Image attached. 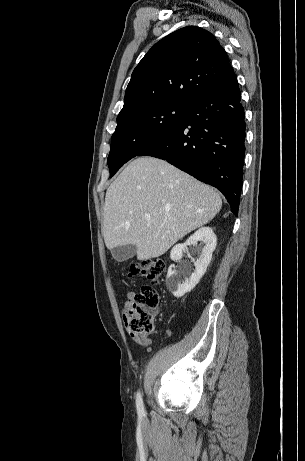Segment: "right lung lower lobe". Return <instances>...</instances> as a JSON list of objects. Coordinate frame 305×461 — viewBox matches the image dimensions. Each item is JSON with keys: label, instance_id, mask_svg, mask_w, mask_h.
I'll return each mask as SVG.
<instances>
[{"label": "right lung lower lobe", "instance_id": "obj_1", "mask_svg": "<svg viewBox=\"0 0 305 461\" xmlns=\"http://www.w3.org/2000/svg\"><path fill=\"white\" fill-rule=\"evenodd\" d=\"M244 119L234 75L192 100L180 125L138 156L166 160L216 187L237 216L245 154Z\"/></svg>", "mask_w": 305, "mask_h": 461}]
</instances>
